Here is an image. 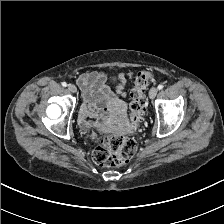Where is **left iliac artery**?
Instances as JSON below:
<instances>
[{"instance_id": "obj_1", "label": "left iliac artery", "mask_w": 224, "mask_h": 224, "mask_svg": "<svg viewBox=\"0 0 224 224\" xmlns=\"http://www.w3.org/2000/svg\"><path fill=\"white\" fill-rule=\"evenodd\" d=\"M159 90L163 89V85L162 84H159L158 87H157Z\"/></svg>"}]
</instances>
